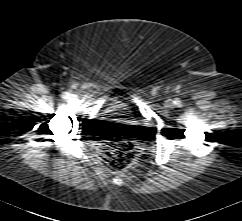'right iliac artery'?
I'll use <instances>...</instances> for the list:
<instances>
[{"instance_id":"right-iliac-artery-1","label":"right iliac artery","mask_w":242,"mask_h":221,"mask_svg":"<svg viewBox=\"0 0 242 221\" xmlns=\"http://www.w3.org/2000/svg\"><path fill=\"white\" fill-rule=\"evenodd\" d=\"M62 98L67 99L68 98V92H63L62 93Z\"/></svg>"}]
</instances>
